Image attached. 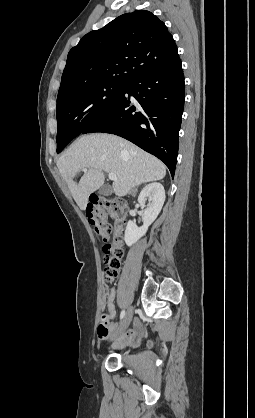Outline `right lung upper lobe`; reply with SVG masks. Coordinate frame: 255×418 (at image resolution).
Masks as SVG:
<instances>
[{
  "label": "right lung upper lobe",
  "instance_id": "obj_1",
  "mask_svg": "<svg viewBox=\"0 0 255 418\" xmlns=\"http://www.w3.org/2000/svg\"><path fill=\"white\" fill-rule=\"evenodd\" d=\"M178 58L172 35L153 13H126L89 32L70 50L58 94L99 82L128 84Z\"/></svg>",
  "mask_w": 255,
  "mask_h": 418
}]
</instances>
